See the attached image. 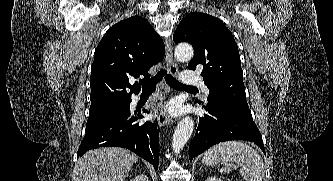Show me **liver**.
Instances as JSON below:
<instances>
[{
  "mask_svg": "<svg viewBox=\"0 0 333 181\" xmlns=\"http://www.w3.org/2000/svg\"><path fill=\"white\" fill-rule=\"evenodd\" d=\"M138 156L124 148L89 150L77 162L76 181H124Z\"/></svg>",
  "mask_w": 333,
  "mask_h": 181,
  "instance_id": "obj_1",
  "label": "liver"
}]
</instances>
